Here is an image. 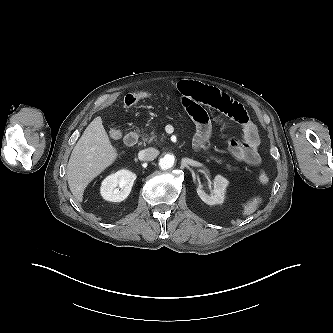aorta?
<instances>
[{
  "label": "aorta",
  "instance_id": "762f6f07",
  "mask_svg": "<svg viewBox=\"0 0 333 333\" xmlns=\"http://www.w3.org/2000/svg\"><path fill=\"white\" fill-rule=\"evenodd\" d=\"M175 158L172 154H165L159 160V166L162 170H168L173 167Z\"/></svg>",
  "mask_w": 333,
  "mask_h": 333
}]
</instances>
